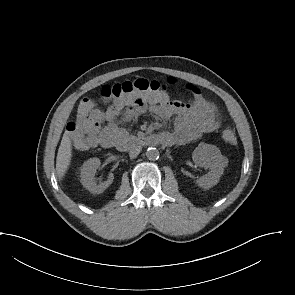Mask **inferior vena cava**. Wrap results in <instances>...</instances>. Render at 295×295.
<instances>
[{"mask_svg": "<svg viewBox=\"0 0 295 295\" xmlns=\"http://www.w3.org/2000/svg\"><path fill=\"white\" fill-rule=\"evenodd\" d=\"M141 149L142 148L139 145L133 146L129 151L130 158H132V159L136 158L139 155V153L141 152Z\"/></svg>", "mask_w": 295, "mask_h": 295, "instance_id": "inferior-vena-cava-1", "label": "inferior vena cava"}]
</instances>
